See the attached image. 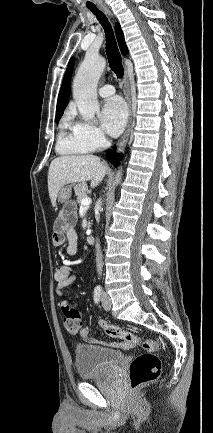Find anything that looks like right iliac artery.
I'll return each instance as SVG.
<instances>
[{"mask_svg":"<svg viewBox=\"0 0 213 433\" xmlns=\"http://www.w3.org/2000/svg\"><path fill=\"white\" fill-rule=\"evenodd\" d=\"M101 294H102V289H101V287H96L95 289H94V302L95 303H99L100 302V300H101Z\"/></svg>","mask_w":213,"mask_h":433,"instance_id":"1","label":"right iliac artery"}]
</instances>
